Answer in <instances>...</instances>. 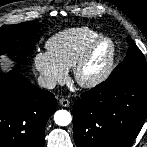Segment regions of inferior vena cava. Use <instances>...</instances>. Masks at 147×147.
<instances>
[{"mask_svg": "<svg viewBox=\"0 0 147 147\" xmlns=\"http://www.w3.org/2000/svg\"><path fill=\"white\" fill-rule=\"evenodd\" d=\"M38 84L39 86L47 89H54L56 86V82L53 79L48 78L46 76H39Z\"/></svg>", "mask_w": 147, "mask_h": 147, "instance_id": "obj_1", "label": "inferior vena cava"}]
</instances>
